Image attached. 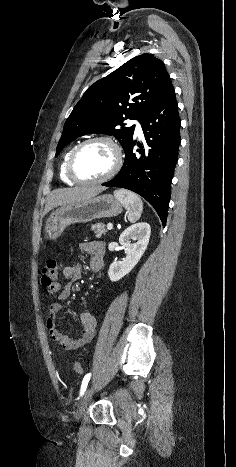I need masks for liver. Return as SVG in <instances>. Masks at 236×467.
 <instances>
[{
  "instance_id": "obj_1",
  "label": "liver",
  "mask_w": 236,
  "mask_h": 467,
  "mask_svg": "<svg viewBox=\"0 0 236 467\" xmlns=\"http://www.w3.org/2000/svg\"><path fill=\"white\" fill-rule=\"evenodd\" d=\"M103 190H105L103 187H74L54 190L48 198L43 215L57 206L91 199Z\"/></svg>"
}]
</instances>
